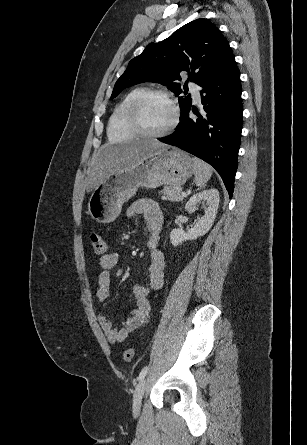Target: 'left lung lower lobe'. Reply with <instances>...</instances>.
Masks as SVG:
<instances>
[{"mask_svg": "<svg viewBox=\"0 0 307 445\" xmlns=\"http://www.w3.org/2000/svg\"><path fill=\"white\" fill-rule=\"evenodd\" d=\"M241 92L240 72L233 56L203 85L200 92L203 108L200 112L192 109L198 118H189L190 107L177 130L159 139L211 164L222 177L230 198L242 131Z\"/></svg>", "mask_w": 307, "mask_h": 445, "instance_id": "0a47b994", "label": "left lung lower lobe"}]
</instances>
